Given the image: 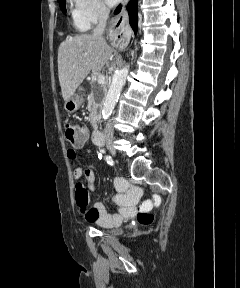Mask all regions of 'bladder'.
<instances>
[{"mask_svg": "<svg viewBox=\"0 0 240 288\" xmlns=\"http://www.w3.org/2000/svg\"><path fill=\"white\" fill-rule=\"evenodd\" d=\"M108 233H111L113 235H117L119 233V230L118 229H110V230H107Z\"/></svg>", "mask_w": 240, "mask_h": 288, "instance_id": "bladder-1", "label": "bladder"}]
</instances>
